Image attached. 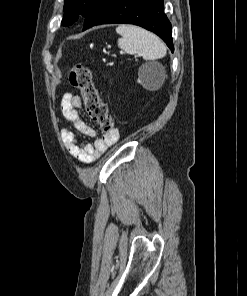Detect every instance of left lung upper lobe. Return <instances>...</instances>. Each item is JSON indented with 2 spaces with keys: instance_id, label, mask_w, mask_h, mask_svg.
<instances>
[{
  "instance_id": "obj_1",
  "label": "left lung upper lobe",
  "mask_w": 247,
  "mask_h": 296,
  "mask_svg": "<svg viewBox=\"0 0 247 296\" xmlns=\"http://www.w3.org/2000/svg\"><path fill=\"white\" fill-rule=\"evenodd\" d=\"M101 0H65L62 25L73 24L82 15L86 17Z\"/></svg>"
}]
</instances>
